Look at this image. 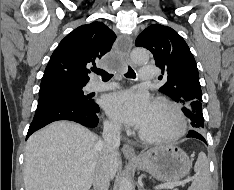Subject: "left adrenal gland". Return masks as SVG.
<instances>
[{"instance_id":"a2214340","label":"left adrenal gland","mask_w":234,"mask_h":190,"mask_svg":"<svg viewBox=\"0 0 234 190\" xmlns=\"http://www.w3.org/2000/svg\"><path fill=\"white\" fill-rule=\"evenodd\" d=\"M138 190H144V189H142L141 187H139V189Z\"/></svg>"}]
</instances>
